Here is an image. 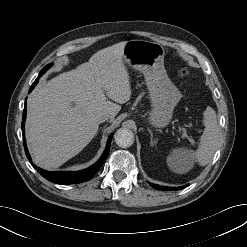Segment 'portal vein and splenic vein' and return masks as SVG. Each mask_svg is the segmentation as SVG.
<instances>
[{"mask_svg": "<svg viewBox=\"0 0 247 247\" xmlns=\"http://www.w3.org/2000/svg\"><path fill=\"white\" fill-rule=\"evenodd\" d=\"M182 131H183L184 133H186V129H185V128H182Z\"/></svg>", "mask_w": 247, "mask_h": 247, "instance_id": "1", "label": "portal vein and splenic vein"}]
</instances>
